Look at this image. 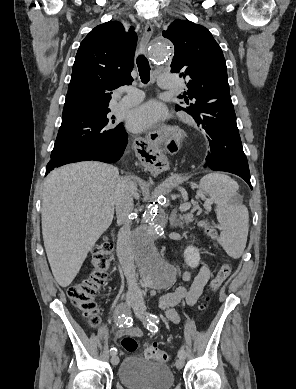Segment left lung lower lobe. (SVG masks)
<instances>
[{
  "label": "left lung lower lobe",
  "instance_id": "obj_1",
  "mask_svg": "<svg viewBox=\"0 0 296 389\" xmlns=\"http://www.w3.org/2000/svg\"><path fill=\"white\" fill-rule=\"evenodd\" d=\"M206 114L200 124L206 139L205 167L236 174L252 189L231 97L221 99Z\"/></svg>",
  "mask_w": 296,
  "mask_h": 389
}]
</instances>
